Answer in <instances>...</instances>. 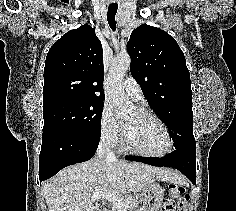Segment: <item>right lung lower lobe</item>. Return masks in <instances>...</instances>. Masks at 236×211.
<instances>
[{"label": "right lung lower lobe", "instance_id": "right-lung-lower-lobe-1", "mask_svg": "<svg viewBox=\"0 0 236 211\" xmlns=\"http://www.w3.org/2000/svg\"><path fill=\"white\" fill-rule=\"evenodd\" d=\"M99 137L63 129L43 131L39 158V180L54 176L62 168L91 159Z\"/></svg>", "mask_w": 236, "mask_h": 211}]
</instances>
